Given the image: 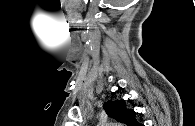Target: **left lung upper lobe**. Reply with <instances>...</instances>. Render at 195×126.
<instances>
[{
    "label": "left lung upper lobe",
    "instance_id": "5c2ea615",
    "mask_svg": "<svg viewBox=\"0 0 195 126\" xmlns=\"http://www.w3.org/2000/svg\"><path fill=\"white\" fill-rule=\"evenodd\" d=\"M108 116L127 126H137L139 123L135 119V111L125 108L124 101H109L103 105Z\"/></svg>",
    "mask_w": 195,
    "mask_h": 126
}]
</instances>
